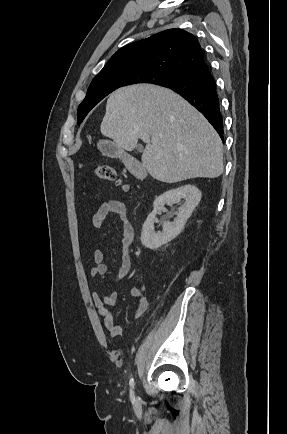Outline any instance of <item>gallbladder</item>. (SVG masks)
I'll return each mask as SVG.
<instances>
[{"mask_svg": "<svg viewBox=\"0 0 287 434\" xmlns=\"http://www.w3.org/2000/svg\"><path fill=\"white\" fill-rule=\"evenodd\" d=\"M137 149L142 151L143 148H142V146H137Z\"/></svg>", "mask_w": 287, "mask_h": 434, "instance_id": "bac80fb5", "label": "gallbladder"}]
</instances>
